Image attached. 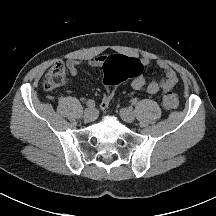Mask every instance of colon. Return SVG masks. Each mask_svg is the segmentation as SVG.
I'll list each match as a JSON object with an SVG mask.
<instances>
[{
  "label": "colon",
  "mask_w": 216,
  "mask_h": 216,
  "mask_svg": "<svg viewBox=\"0 0 216 216\" xmlns=\"http://www.w3.org/2000/svg\"><path fill=\"white\" fill-rule=\"evenodd\" d=\"M143 67L138 61L123 56L107 60L104 65V83L107 89L101 102V109L103 111H106L110 107L115 87L130 78L141 75ZM65 75L66 69L63 62H55L45 76L44 88L46 90L56 89L65 80ZM162 101L167 109H175L178 106V98L172 91H165Z\"/></svg>",
  "instance_id": "colon-1"
}]
</instances>
